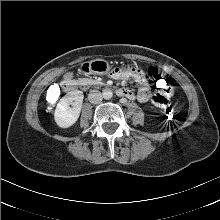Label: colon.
<instances>
[{"label":"colon","mask_w":220,"mask_h":220,"mask_svg":"<svg viewBox=\"0 0 220 220\" xmlns=\"http://www.w3.org/2000/svg\"><path fill=\"white\" fill-rule=\"evenodd\" d=\"M146 84L149 89L153 91H157V92H162L167 89L169 85V80L167 76L164 73L160 72L157 68L150 67L148 69V76L146 78ZM56 94H57V91L54 90L52 92V95L54 96ZM155 103L157 106L162 107L164 109V113H165L167 120L169 121L176 120V113L169 99H166L162 96H156Z\"/></svg>","instance_id":"obj_1"}]
</instances>
